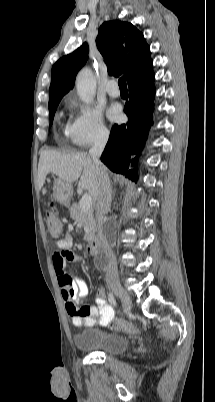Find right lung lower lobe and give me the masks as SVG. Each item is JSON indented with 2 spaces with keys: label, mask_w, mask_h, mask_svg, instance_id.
Returning a JSON list of instances; mask_svg holds the SVG:
<instances>
[{
  "label": "right lung lower lobe",
  "mask_w": 215,
  "mask_h": 402,
  "mask_svg": "<svg viewBox=\"0 0 215 402\" xmlns=\"http://www.w3.org/2000/svg\"><path fill=\"white\" fill-rule=\"evenodd\" d=\"M129 93V101L124 107L128 122L122 125L115 124L112 127L101 161L112 171L125 174L126 177L136 181V169L128 171L130 154L139 155L150 125L153 124L154 74L129 85ZM136 161L137 157L132 160V165H135Z\"/></svg>",
  "instance_id": "right-lung-lower-lobe-1"
}]
</instances>
